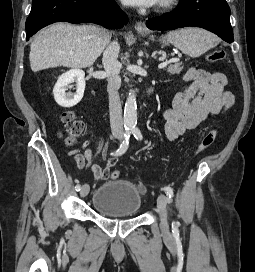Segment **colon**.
I'll use <instances>...</instances> for the list:
<instances>
[{
	"mask_svg": "<svg viewBox=\"0 0 255 272\" xmlns=\"http://www.w3.org/2000/svg\"><path fill=\"white\" fill-rule=\"evenodd\" d=\"M226 59V52L223 50H217L212 52L208 60L212 63L222 62ZM61 121L64 124L65 132L67 134V141L71 143L76 138L82 136L86 131L85 123L77 118L74 112L66 111L61 115ZM218 135V130L216 128L210 129L202 138L201 142L195 149L194 154L196 156L201 155L207 151L216 141ZM119 171L115 170L111 173L112 179H117L119 177Z\"/></svg>",
	"mask_w": 255,
	"mask_h": 272,
	"instance_id": "1",
	"label": "colon"
}]
</instances>
